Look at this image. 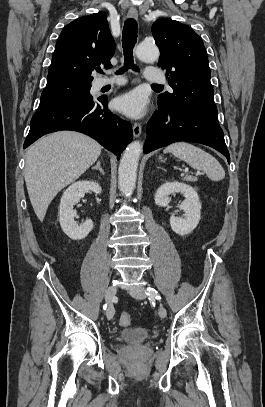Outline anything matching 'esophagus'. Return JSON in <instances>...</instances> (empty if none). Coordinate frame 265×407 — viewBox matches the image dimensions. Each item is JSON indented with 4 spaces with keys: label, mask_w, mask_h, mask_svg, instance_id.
Wrapping results in <instances>:
<instances>
[{
    "label": "esophagus",
    "mask_w": 265,
    "mask_h": 407,
    "mask_svg": "<svg viewBox=\"0 0 265 407\" xmlns=\"http://www.w3.org/2000/svg\"><path fill=\"white\" fill-rule=\"evenodd\" d=\"M128 16L133 19L138 18V12L135 8L131 7L128 11ZM142 126L140 123H134L133 125V135L135 138H138L141 135Z\"/></svg>",
    "instance_id": "34e87169"
}]
</instances>
